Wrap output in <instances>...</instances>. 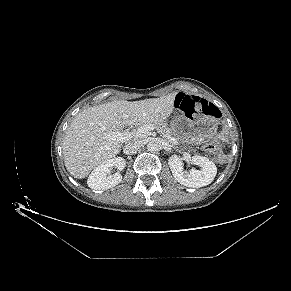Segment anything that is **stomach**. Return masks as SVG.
<instances>
[{"label": "stomach", "instance_id": "stomach-1", "mask_svg": "<svg viewBox=\"0 0 291 291\" xmlns=\"http://www.w3.org/2000/svg\"><path fill=\"white\" fill-rule=\"evenodd\" d=\"M217 124L218 120L210 116L187 118L176 114L171 121L175 131H181L184 138L196 141L212 137L216 132Z\"/></svg>", "mask_w": 291, "mask_h": 291}]
</instances>
